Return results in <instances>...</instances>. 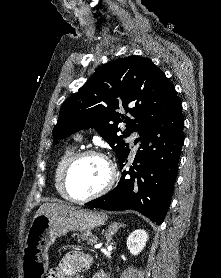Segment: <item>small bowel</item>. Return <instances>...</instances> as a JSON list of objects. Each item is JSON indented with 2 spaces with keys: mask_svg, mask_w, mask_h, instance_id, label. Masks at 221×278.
<instances>
[{
  "mask_svg": "<svg viewBox=\"0 0 221 278\" xmlns=\"http://www.w3.org/2000/svg\"><path fill=\"white\" fill-rule=\"evenodd\" d=\"M93 259L90 255L71 251L65 254L59 264L53 268L46 278H80L78 271L92 267ZM95 278H107L105 274H98Z\"/></svg>",
  "mask_w": 221,
  "mask_h": 278,
  "instance_id": "small-bowel-1",
  "label": "small bowel"
}]
</instances>
